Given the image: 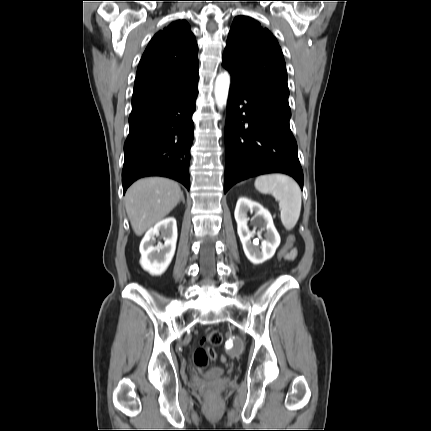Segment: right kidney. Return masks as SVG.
I'll list each match as a JSON object with an SVG mask.
<instances>
[{
	"label": "right kidney",
	"mask_w": 431,
	"mask_h": 431,
	"mask_svg": "<svg viewBox=\"0 0 431 431\" xmlns=\"http://www.w3.org/2000/svg\"><path fill=\"white\" fill-rule=\"evenodd\" d=\"M161 234L164 244L155 246V237ZM177 224L175 218H166L149 229L140 243V264L152 275H161L168 268L175 253Z\"/></svg>",
	"instance_id": "right-kidney-1"
}]
</instances>
